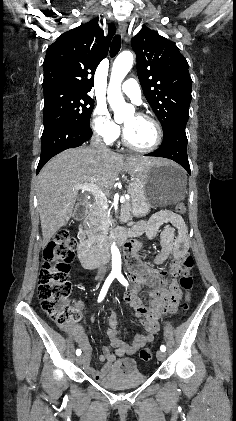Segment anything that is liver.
<instances>
[{
  "mask_svg": "<svg viewBox=\"0 0 236 421\" xmlns=\"http://www.w3.org/2000/svg\"><path fill=\"white\" fill-rule=\"evenodd\" d=\"M160 162L153 156H129L112 150L79 146L67 148L46 162L37 178V202L43 235V247L72 217L78 190L74 184L94 182L102 192H109L120 170L137 172L140 166Z\"/></svg>",
  "mask_w": 236,
  "mask_h": 421,
  "instance_id": "obj_1",
  "label": "liver"
}]
</instances>
